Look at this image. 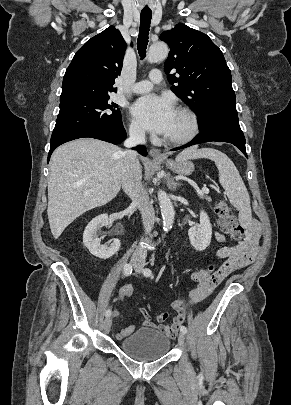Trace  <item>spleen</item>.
Here are the masks:
<instances>
[{"label":"spleen","mask_w":291,"mask_h":405,"mask_svg":"<svg viewBox=\"0 0 291 405\" xmlns=\"http://www.w3.org/2000/svg\"><path fill=\"white\" fill-rule=\"evenodd\" d=\"M208 158L215 162L219 171V182L231 203L239 211L242 223L252 218L250 197L247 188L232 160L224 153L213 148L191 147L182 151L176 160Z\"/></svg>","instance_id":"3e777b00"}]
</instances>
